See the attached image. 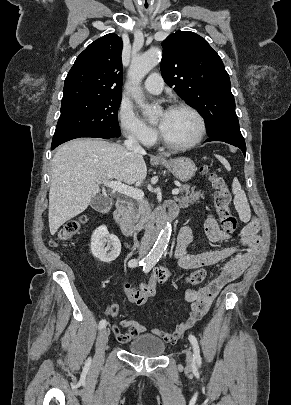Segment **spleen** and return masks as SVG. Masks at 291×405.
<instances>
[{
    "instance_id": "3e777b00",
    "label": "spleen",
    "mask_w": 291,
    "mask_h": 405,
    "mask_svg": "<svg viewBox=\"0 0 291 405\" xmlns=\"http://www.w3.org/2000/svg\"><path fill=\"white\" fill-rule=\"evenodd\" d=\"M216 158L224 165V167L230 171L231 166L229 162L222 156L216 155ZM232 192L234 194V206L237 210L239 217L243 221H248L251 217L250 215V207L248 204V200L244 190L241 188V184L239 183L237 178L233 179L232 182Z\"/></svg>"
}]
</instances>
